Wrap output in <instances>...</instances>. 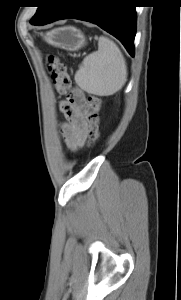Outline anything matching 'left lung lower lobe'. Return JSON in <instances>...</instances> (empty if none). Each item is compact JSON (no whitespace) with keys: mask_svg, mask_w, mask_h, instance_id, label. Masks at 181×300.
Wrapping results in <instances>:
<instances>
[{"mask_svg":"<svg viewBox=\"0 0 181 300\" xmlns=\"http://www.w3.org/2000/svg\"><path fill=\"white\" fill-rule=\"evenodd\" d=\"M132 0H56L38 25L74 18L94 23L109 32L134 56L136 11Z\"/></svg>","mask_w":181,"mask_h":300,"instance_id":"0a47b994","label":"left lung lower lobe"}]
</instances>
